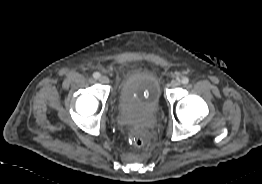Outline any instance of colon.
Segmentation results:
<instances>
[{
	"label": "colon",
	"instance_id": "1",
	"mask_svg": "<svg viewBox=\"0 0 262 184\" xmlns=\"http://www.w3.org/2000/svg\"><path fill=\"white\" fill-rule=\"evenodd\" d=\"M132 143L133 145H135L136 147H141L144 145L145 141L142 137L140 136H135L132 138Z\"/></svg>",
	"mask_w": 262,
	"mask_h": 184
}]
</instances>
